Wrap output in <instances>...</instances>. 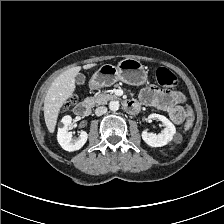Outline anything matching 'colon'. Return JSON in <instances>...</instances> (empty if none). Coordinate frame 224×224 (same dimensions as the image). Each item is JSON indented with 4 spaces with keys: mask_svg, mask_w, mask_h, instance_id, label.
<instances>
[{
    "mask_svg": "<svg viewBox=\"0 0 224 224\" xmlns=\"http://www.w3.org/2000/svg\"><path fill=\"white\" fill-rule=\"evenodd\" d=\"M156 78L160 85L166 87H175L178 83L176 75L165 67H159L156 72ZM185 128H190L192 124L191 112L187 106L183 107Z\"/></svg>",
    "mask_w": 224,
    "mask_h": 224,
    "instance_id": "1",
    "label": "colon"
}]
</instances>
